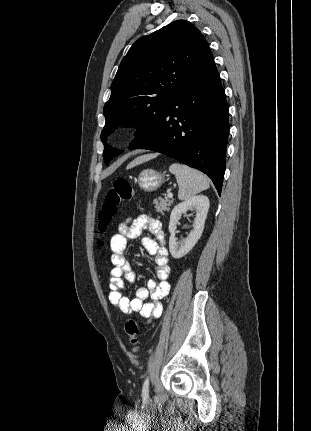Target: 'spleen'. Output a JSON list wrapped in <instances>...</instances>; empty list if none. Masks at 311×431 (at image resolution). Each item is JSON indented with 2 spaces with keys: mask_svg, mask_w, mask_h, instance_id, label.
<instances>
[{
  "mask_svg": "<svg viewBox=\"0 0 311 431\" xmlns=\"http://www.w3.org/2000/svg\"><path fill=\"white\" fill-rule=\"evenodd\" d=\"M171 174H175L176 182L179 186V200H189L203 190H208L209 182L201 172L182 166V164H171L169 168Z\"/></svg>",
  "mask_w": 311,
  "mask_h": 431,
  "instance_id": "3e777b00",
  "label": "spleen"
}]
</instances>
